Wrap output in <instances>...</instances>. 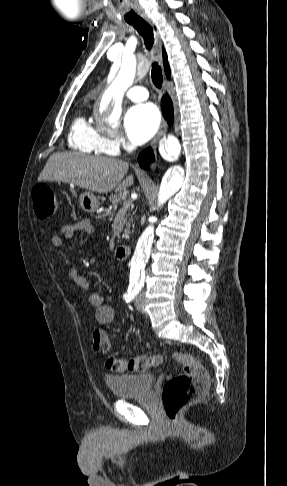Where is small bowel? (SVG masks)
I'll use <instances>...</instances> for the list:
<instances>
[{
    "label": "small bowel",
    "instance_id": "c3829d8e",
    "mask_svg": "<svg viewBox=\"0 0 287 486\" xmlns=\"http://www.w3.org/2000/svg\"><path fill=\"white\" fill-rule=\"evenodd\" d=\"M96 228L89 218H83L80 221L62 226L59 231L53 234L51 242L53 246L59 249H65V241H72L76 234L79 232H85L93 234ZM70 279L81 289L89 292V302L95 308V319L101 325H107L113 322L115 318L114 309L104 303V299L101 294L92 292L90 284L86 277H84L77 268H71L69 270Z\"/></svg>",
    "mask_w": 287,
    "mask_h": 486
}]
</instances>
